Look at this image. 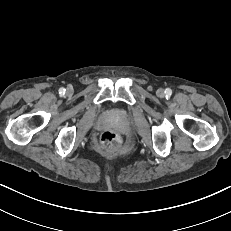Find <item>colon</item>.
<instances>
[{
    "label": "colon",
    "instance_id": "colon-1",
    "mask_svg": "<svg viewBox=\"0 0 231 231\" xmlns=\"http://www.w3.org/2000/svg\"><path fill=\"white\" fill-rule=\"evenodd\" d=\"M100 141L106 147H116L120 142V137L113 131H105L102 133Z\"/></svg>",
    "mask_w": 231,
    "mask_h": 231
}]
</instances>
